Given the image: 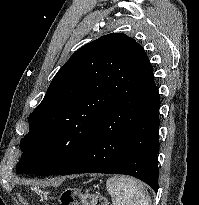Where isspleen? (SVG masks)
I'll use <instances>...</instances> for the list:
<instances>
[{
  "mask_svg": "<svg viewBox=\"0 0 199 205\" xmlns=\"http://www.w3.org/2000/svg\"><path fill=\"white\" fill-rule=\"evenodd\" d=\"M106 189L113 205H152L144 184L136 179L114 176L107 180Z\"/></svg>",
  "mask_w": 199,
  "mask_h": 205,
  "instance_id": "3e777b00",
  "label": "spleen"
}]
</instances>
